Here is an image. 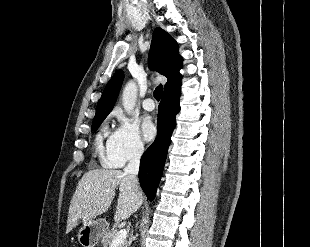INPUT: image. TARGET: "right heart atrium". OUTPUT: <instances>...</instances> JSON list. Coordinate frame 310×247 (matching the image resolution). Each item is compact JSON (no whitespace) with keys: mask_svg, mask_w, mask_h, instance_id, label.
Masks as SVG:
<instances>
[{"mask_svg":"<svg viewBox=\"0 0 310 247\" xmlns=\"http://www.w3.org/2000/svg\"><path fill=\"white\" fill-rule=\"evenodd\" d=\"M114 117L118 125L108 139L102 162L108 167H122L140 159L145 148L137 124L119 111Z\"/></svg>","mask_w":310,"mask_h":247,"instance_id":"1","label":"right heart atrium"}]
</instances>
